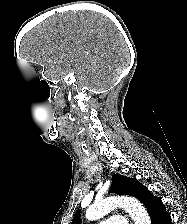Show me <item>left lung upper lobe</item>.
Masks as SVG:
<instances>
[{"label": "left lung upper lobe", "instance_id": "obj_1", "mask_svg": "<svg viewBox=\"0 0 187 224\" xmlns=\"http://www.w3.org/2000/svg\"><path fill=\"white\" fill-rule=\"evenodd\" d=\"M114 192L119 195H130L137 198L141 203L151 196V192L148 191L141 183L136 179H132L120 174H114L112 180V187L109 193ZM71 224H80V211L77 210Z\"/></svg>", "mask_w": 187, "mask_h": 224}]
</instances>
